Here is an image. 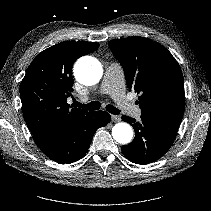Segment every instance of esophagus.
<instances>
[{"label": "esophagus", "instance_id": "1", "mask_svg": "<svg viewBox=\"0 0 211 211\" xmlns=\"http://www.w3.org/2000/svg\"><path fill=\"white\" fill-rule=\"evenodd\" d=\"M111 118L113 122H119L121 120V118L117 115H112Z\"/></svg>", "mask_w": 211, "mask_h": 211}]
</instances>
